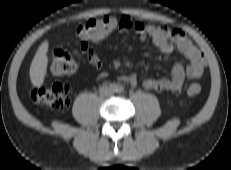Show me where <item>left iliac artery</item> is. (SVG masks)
<instances>
[{
	"label": "left iliac artery",
	"instance_id": "44dca946",
	"mask_svg": "<svg viewBox=\"0 0 231 170\" xmlns=\"http://www.w3.org/2000/svg\"><path fill=\"white\" fill-rule=\"evenodd\" d=\"M123 91H124V87H123L122 85H119V86L117 87V92L121 93V92H123Z\"/></svg>",
	"mask_w": 231,
	"mask_h": 170
}]
</instances>
